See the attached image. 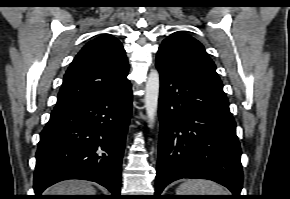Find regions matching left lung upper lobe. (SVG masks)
<instances>
[{"instance_id": "obj_1", "label": "left lung upper lobe", "mask_w": 290, "mask_h": 199, "mask_svg": "<svg viewBox=\"0 0 290 199\" xmlns=\"http://www.w3.org/2000/svg\"><path fill=\"white\" fill-rule=\"evenodd\" d=\"M158 52L178 68L223 86L214 62L207 55L203 45L193 37L175 32L162 42Z\"/></svg>"}]
</instances>
